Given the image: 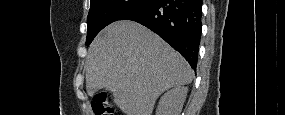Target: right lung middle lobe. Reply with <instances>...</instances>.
<instances>
[{"label": "right lung middle lobe", "instance_id": "1", "mask_svg": "<svg viewBox=\"0 0 285 115\" xmlns=\"http://www.w3.org/2000/svg\"><path fill=\"white\" fill-rule=\"evenodd\" d=\"M151 0H91L87 18L86 45L107 25L140 8Z\"/></svg>", "mask_w": 285, "mask_h": 115}]
</instances>
